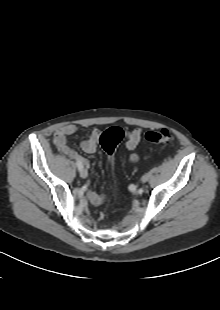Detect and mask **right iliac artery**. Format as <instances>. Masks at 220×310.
Masks as SVG:
<instances>
[{
  "label": "right iliac artery",
  "instance_id": "right-iliac-artery-1",
  "mask_svg": "<svg viewBox=\"0 0 220 310\" xmlns=\"http://www.w3.org/2000/svg\"><path fill=\"white\" fill-rule=\"evenodd\" d=\"M76 164L79 170L83 169V164L81 161L77 160Z\"/></svg>",
  "mask_w": 220,
  "mask_h": 310
}]
</instances>
